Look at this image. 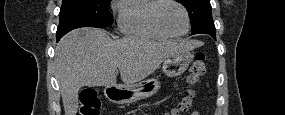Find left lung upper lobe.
I'll return each instance as SVG.
<instances>
[{
	"instance_id": "1",
	"label": "left lung upper lobe",
	"mask_w": 285,
	"mask_h": 115,
	"mask_svg": "<svg viewBox=\"0 0 285 115\" xmlns=\"http://www.w3.org/2000/svg\"><path fill=\"white\" fill-rule=\"evenodd\" d=\"M177 2L182 3L189 13L192 34L206 33V30L215 28L209 0H177Z\"/></svg>"
}]
</instances>
